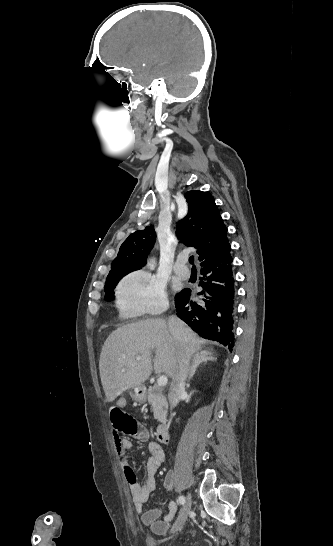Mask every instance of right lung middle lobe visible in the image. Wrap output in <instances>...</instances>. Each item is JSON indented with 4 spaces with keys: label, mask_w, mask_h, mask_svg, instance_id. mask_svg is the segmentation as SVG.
<instances>
[{
    "label": "right lung middle lobe",
    "mask_w": 333,
    "mask_h": 546,
    "mask_svg": "<svg viewBox=\"0 0 333 546\" xmlns=\"http://www.w3.org/2000/svg\"><path fill=\"white\" fill-rule=\"evenodd\" d=\"M134 270H125V271H115L112 273H109L106 279L105 283V299L106 300H112L114 297V288L116 284L128 273L132 272Z\"/></svg>",
    "instance_id": "obj_1"
}]
</instances>
